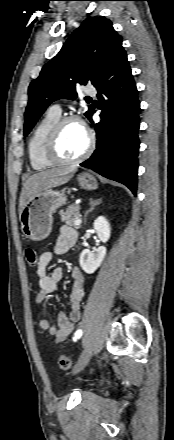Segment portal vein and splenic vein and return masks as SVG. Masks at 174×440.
Wrapping results in <instances>:
<instances>
[{"instance_id":"obj_1","label":"portal vein and splenic vein","mask_w":174,"mask_h":440,"mask_svg":"<svg viewBox=\"0 0 174 440\" xmlns=\"http://www.w3.org/2000/svg\"><path fill=\"white\" fill-rule=\"evenodd\" d=\"M81 223H82V220H81L80 218H77V219L75 220V222H74V225H76V226H80Z\"/></svg>"}]
</instances>
